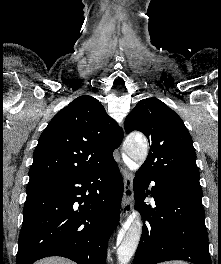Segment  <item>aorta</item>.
<instances>
[{
	"label": "aorta",
	"instance_id": "obj_1",
	"mask_svg": "<svg viewBox=\"0 0 221 264\" xmlns=\"http://www.w3.org/2000/svg\"><path fill=\"white\" fill-rule=\"evenodd\" d=\"M124 151L133 161L143 163L148 154V143L142 136L133 135L124 143ZM142 233V221L139 214L134 215L123 227L117 238L119 264H128L132 259Z\"/></svg>",
	"mask_w": 221,
	"mask_h": 264
}]
</instances>
